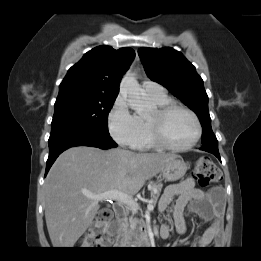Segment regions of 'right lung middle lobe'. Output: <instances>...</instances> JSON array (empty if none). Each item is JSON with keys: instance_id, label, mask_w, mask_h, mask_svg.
I'll return each instance as SVG.
<instances>
[{"instance_id": "dd1d6c3e", "label": "right lung middle lobe", "mask_w": 261, "mask_h": 261, "mask_svg": "<svg viewBox=\"0 0 261 261\" xmlns=\"http://www.w3.org/2000/svg\"><path fill=\"white\" fill-rule=\"evenodd\" d=\"M115 99L116 96L58 95L54 105L51 133L92 129L109 134L107 117Z\"/></svg>"}]
</instances>
